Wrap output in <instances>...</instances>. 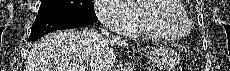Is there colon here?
Wrapping results in <instances>:
<instances>
[{
	"label": "colon",
	"mask_w": 230,
	"mask_h": 71,
	"mask_svg": "<svg viewBox=\"0 0 230 71\" xmlns=\"http://www.w3.org/2000/svg\"><path fill=\"white\" fill-rule=\"evenodd\" d=\"M180 71H192L193 69L187 66H182L179 68Z\"/></svg>",
	"instance_id": "1"
}]
</instances>
